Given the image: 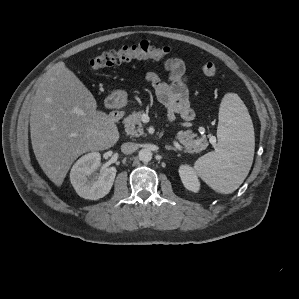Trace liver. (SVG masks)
Returning <instances> with one entry per match:
<instances>
[{
  "label": "liver",
  "mask_w": 299,
  "mask_h": 299,
  "mask_svg": "<svg viewBox=\"0 0 299 299\" xmlns=\"http://www.w3.org/2000/svg\"><path fill=\"white\" fill-rule=\"evenodd\" d=\"M30 135L35 157L46 176L60 187L78 156L114 146V120L97 110L92 93L64 62L49 69L33 98Z\"/></svg>",
  "instance_id": "6515ba94"
}]
</instances>
